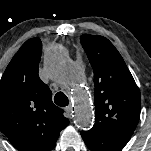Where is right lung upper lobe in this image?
Instances as JSON below:
<instances>
[{
    "label": "right lung upper lobe",
    "mask_w": 151,
    "mask_h": 151,
    "mask_svg": "<svg viewBox=\"0 0 151 151\" xmlns=\"http://www.w3.org/2000/svg\"><path fill=\"white\" fill-rule=\"evenodd\" d=\"M42 43L27 40L0 80V130L19 151H50L69 120L38 76Z\"/></svg>",
    "instance_id": "cb5924a9"
}]
</instances>
